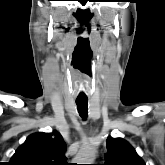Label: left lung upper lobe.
<instances>
[{
  "label": "left lung upper lobe",
  "instance_id": "5c2ea615",
  "mask_svg": "<svg viewBox=\"0 0 165 165\" xmlns=\"http://www.w3.org/2000/svg\"><path fill=\"white\" fill-rule=\"evenodd\" d=\"M106 146V162L103 165H145L134 148L122 138L110 136L106 140Z\"/></svg>",
  "mask_w": 165,
  "mask_h": 165
}]
</instances>
